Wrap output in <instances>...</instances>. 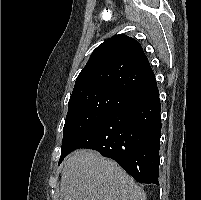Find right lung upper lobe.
Wrapping results in <instances>:
<instances>
[{
  "label": "right lung upper lobe",
  "instance_id": "1",
  "mask_svg": "<svg viewBox=\"0 0 201 200\" xmlns=\"http://www.w3.org/2000/svg\"><path fill=\"white\" fill-rule=\"evenodd\" d=\"M156 85L141 45L135 39L119 34L93 51L76 79L72 95L108 90L132 98Z\"/></svg>",
  "mask_w": 201,
  "mask_h": 200
}]
</instances>
